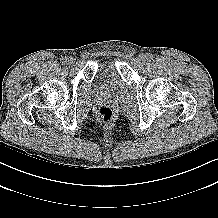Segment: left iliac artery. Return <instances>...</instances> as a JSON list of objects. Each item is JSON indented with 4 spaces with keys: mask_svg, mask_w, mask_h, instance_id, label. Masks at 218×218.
Wrapping results in <instances>:
<instances>
[{
    "mask_svg": "<svg viewBox=\"0 0 218 218\" xmlns=\"http://www.w3.org/2000/svg\"><path fill=\"white\" fill-rule=\"evenodd\" d=\"M152 58H153V55H152V54H150V53L147 54V59H148V60H152Z\"/></svg>",
    "mask_w": 218,
    "mask_h": 218,
    "instance_id": "obj_1",
    "label": "left iliac artery"
}]
</instances>
